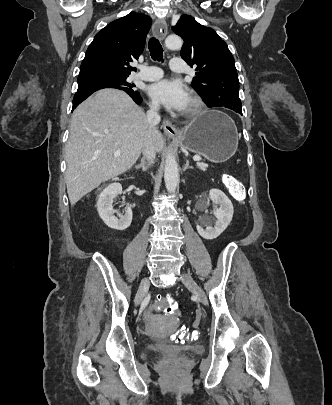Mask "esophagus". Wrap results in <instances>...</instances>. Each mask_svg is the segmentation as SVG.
<instances>
[{
    "instance_id": "obj_1",
    "label": "esophagus",
    "mask_w": 332,
    "mask_h": 405,
    "mask_svg": "<svg viewBox=\"0 0 332 405\" xmlns=\"http://www.w3.org/2000/svg\"><path fill=\"white\" fill-rule=\"evenodd\" d=\"M167 32L168 27L166 21L162 19L157 20L153 26L154 35L160 40H163L166 37ZM162 127L164 132L171 137L180 135V131L167 119L163 121Z\"/></svg>"
}]
</instances>
